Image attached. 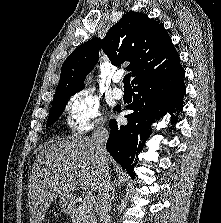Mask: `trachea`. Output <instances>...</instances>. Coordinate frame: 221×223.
<instances>
[{
  "mask_svg": "<svg viewBox=\"0 0 221 223\" xmlns=\"http://www.w3.org/2000/svg\"><path fill=\"white\" fill-rule=\"evenodd\" d=\"M130 77H131V74L128 73L127 75H125V77L123 79V83H124L125 88H131Z\"/></svg>",
  "mask_w": 221,
  "mask_h": 223,
  "instance_id": "trachea-1",
  "label": "trachea"
}]
</instances>
